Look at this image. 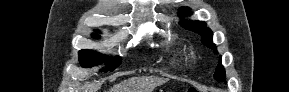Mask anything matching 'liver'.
<instances>
[{
    "mask_svg": "<svg viewBox=\"0 0 289 92\" xmlns=\"http://www.w3.org/2000/svg\"><path fill=\"white\" fill-rule=\"evenodd\" d=\"M168 81L169 79L158 76L135 77L115 85L110 92H152Z\"/></svg>",
    "mask_w": 289,
    "mask_h": 92,
    "instance_id": "obj_1",
    "label": "liver"
}]
</instances>
